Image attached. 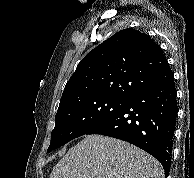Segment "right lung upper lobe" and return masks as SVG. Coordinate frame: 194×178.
Masks as SVG:
<instances>
[{
  "label": "right lung upper lobe",
  "mask_w": 194,
  "mask_h": 178,
  "mask_svg": "<svg viewBox=\"0 0 194 178\" xmlns=\"http://www.w3.org/2000/svg\"><path fill=\"white\" fill-rule=\"evenodd\" d=\"M172 77L160 46L147 34L133 28L124 29L81 60L64 88L59 108L98 96L129 99Z\"/></svg>",
  "instance_id": "1"
}]
</instances>
